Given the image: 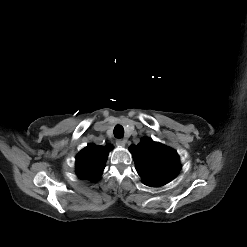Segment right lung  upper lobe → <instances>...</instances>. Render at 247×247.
Here are the masks:
<instances>
[{
  "instance_id": "obj_1",
  "label": "right lung upper lobe",
  "mask_w": 247,
  "mask_h": 247,
  "mask_svg": "<svg viewBox=\"0 0 247 247\" xmlns=\"http://www.w3.org/2000/svg\"><path fill=\"white\" fill-rule=\"evenodd\" d=\"M111 145L89 144L76 157V173L82 180H97L105 167Z\"/></svg>"
}]
</instances>
